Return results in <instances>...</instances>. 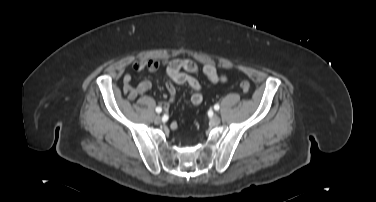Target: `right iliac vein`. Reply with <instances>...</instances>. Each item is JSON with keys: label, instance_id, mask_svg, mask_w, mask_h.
<instances>
[{"label": "right iliac vein", "instance_id": "1", "mask_svg": "<svg viewBox=\"0 0 376 202\" xmlns=\"http://www.w3.org/2000/svg\"><path fill=\"white\" fill-rule=\"evenodd\" d=\"M161 120H162L161 116H159V115H156L155 118H154V122L157 123V124L160 123Z\"/></svg>", "mask_w": 376, "mask_h": 202}]
</instances>
